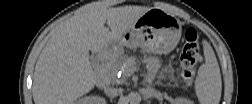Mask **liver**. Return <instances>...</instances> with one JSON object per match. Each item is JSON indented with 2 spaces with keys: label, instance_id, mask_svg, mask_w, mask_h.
I'll return each mask as SVG.
<instances>
[{
  "label": "liver",
  "instance_id": "obj_1",
  "mask_svg": "<svg viewBox=\"0 0 252 104\" xmlns=\"http://www.w3.org/2000/svg\"><path fill=\"white\" fill-rule=\"evenodd\" d=\"M150 9L142 6L107 9L95 2L63 22L36 62L34 102L70 104L91 91L98 77L90 64L89 51L97 52L113 42L120 43L123 34Z\"/></svg>",
  "mask_w": 252,
  "mask_h": 104
}]
</instances>
